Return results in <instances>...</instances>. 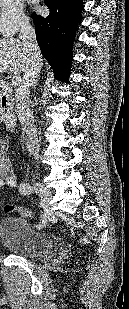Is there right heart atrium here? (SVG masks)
Listing matches in <instances>:
<instances>
[{
    "instance_id": "1",
    "label": "right heart atrium",
    "mask_w": 129,
    "mask_h": 309,
    "mask_svg": "<svg viewBox=\"0 0 129 309\" xmlns=\"http://www.w3.org/2000/svg\"><path fill=\"white\" fill-rule=\"evenodd\" d=\"M29 27L22 0H0V35L12 37Z\"/></svg>"
}]
</instances>
